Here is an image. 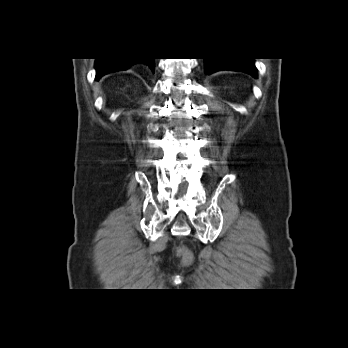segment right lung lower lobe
Wrapping results in <instances>:
<instances>
[{
    "label": "right lung lower lobe",
    "mask_w": 348,
    "mask_h": 348,
    "mask_svg": "<svg viewBox=\"0 0 348 348\" xmlns=\"http://www.w3.org/2000/svg\"><path fill=\"white\" fill-rule=\"evenodd\" d=\"M142 62L147 64L152 70H154V58H126V59H117V58H102L96 59V80L107 73L126 70L132 64Z\"/></svg>",
    "instance_id": "obj_1"
}]
</instances>
